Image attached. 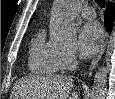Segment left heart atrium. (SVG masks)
I'll return each mask as SVG.
<instances>
[{"label": "left heart atrium", "mask_w": 115, "mask_h": 99, "mask_svg": "<svg viewBox=\"0 0 115 99\" xmlns=\"http://www.w3.org/2000/svg\"><path fill=\"white\" fill-rule=\"evenodd\" d=\"M104 39L102 27L98 23H88L79 32V51L84 57L96 53Z\"/></svg>", "instance_id": "obj_1"}]
</instances>
